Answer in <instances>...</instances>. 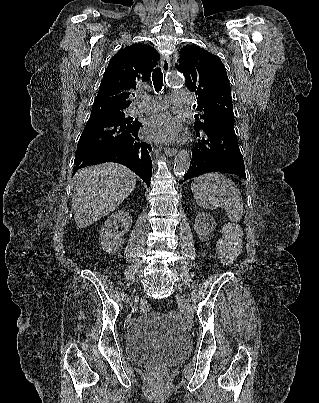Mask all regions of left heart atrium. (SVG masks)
Here are the masks:
<instances>
[{"mask_svg":"<svg viewBox=\"0 0 319 403\" xmlns=\"http://www.w3.org/2000/svg\"><path fill=\"white\" fill-rule=\"evenodd\" d=\"M180 124L169 113L161 112L149 117L144 125L146 137L153 141H173L179 136Z\"/></svg>","mask_w":319,"mask_h":403,"instance_id":"1","label":"left heart atrium"}]
</instances>
